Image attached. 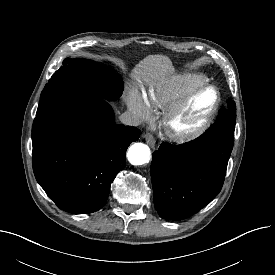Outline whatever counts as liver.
Masks as SVG:
<instances>
[{
  "mask_svg": "<svg viewBox=\"0 0 275 275\" xmlns=\"http://www.w3.org/2000/svg\"><path fill=\"white\" fill-rule=\"evenodd\" d=\"M174 72L171 60L165 55H149L133 69L132 76L137 81L153 80L165 77Z\"/></svg>",
  "mask_w": 275,
  "mask_h": 275,
  "instance_id": "1",
  "label": "liver"
}]
</instances>
